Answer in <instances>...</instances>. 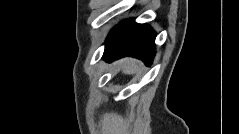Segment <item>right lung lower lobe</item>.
Listing matches in <instances>:
<instances>
[{
    "label": "right lung lower lobe",
    "mask_w": 239,
    "mask_h": 134,
    "mask_svg": "<svg viewBox=\"0 0 239 134\" xmlns=\"http://www.w3.org/2000/svg\"><path fill=\"white\" fill-rule=\"evenodd\" d=\"M155 37L156 33L150 26L127 20L111 31L103 56L109 62L132 56L150 64L155 55Z\"/></svg>",
    "instance_id": "obj_1"
}]
</instances>
